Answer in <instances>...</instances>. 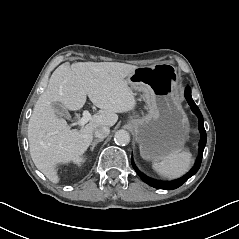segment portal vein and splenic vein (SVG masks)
Segmentation results:
<instances>
[{"instance_id": "18ae733b", "label": "portal vein and splenic vein", "mask_w": 239, "mask_h": 239, "mask_svg": "<svg viewBox=\"0 0 239 239\" xmlns=\"http://www.w3.org/2000/svg\"><path fill=\"white\" fill-rule=\"evenodd\" d=\"M82 115H83V117L77 122V125H78L79 127L85 126L86 123L89 121V118H90V113H89L88 110H84V111L82 112Z\"/></svg>"}]
</instances>
